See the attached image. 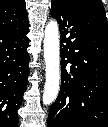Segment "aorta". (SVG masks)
Wrapping results in <instances>:
<instances>
[{"instance_id": "762f6f07", "label": "aorta", "mask_w": 108, "mask_h": 127, "mask_svg": "<svg viewBox=\"0 0 108 127\" xmlns=\"http://www.w3.org/2000/svg\"><path fill=\"white\" fill-rule=\"evenodd\" d=\"M59 28L55 20L45 27L44 58L46 63V82L43 92V104L53 103L60 88Z\"/></svg>"}]
</instances>
